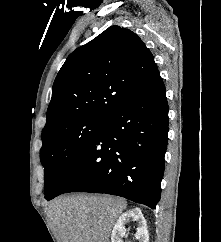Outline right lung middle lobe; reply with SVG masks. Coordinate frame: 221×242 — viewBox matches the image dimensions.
Returning <instances> with one entry per match:
<instances>
[{"instance_id":"dd1d6c3e","label":"right lung middle lobe","mask_w":221,"mask_h":242,"mask_svg":"<svg viewBox=\"0 0 221 242\" xmlns=\"http://www.w3.org/2000/svg\"><path fill=\"white\" fill-rule=\"evenodd\" d=\"M102 123L103 117H86L64 123L42 134L40 160L45 169V199L48 200L66 167Z\"/></svg>"}]
</instances>
